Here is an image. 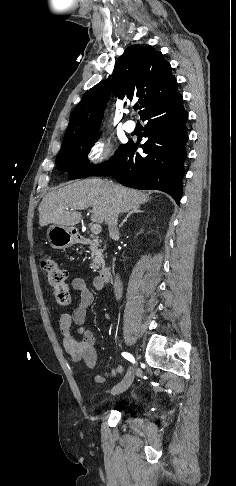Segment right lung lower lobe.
Wrapping results in <instances>:
<instances>
[{
  "mask_svg": "<svg viewBox=\"0 0 236 486\" xmlns=\"http://www.w3.org/2000/svg\"><path fill=\"white\" fill-rule=\"evenodd\" d=\"M140 116L147 121L143 136L148 140L141 145L144 154L136 152L138 143L129 141L92 175H110L132 188L161 190L179 204L188 140V114L183 107V97L177 93L154 103Z\"/></svg>",
  "mask_w": 236,
  "mask_h": 486,
  "instance_id": "1",
  "label": "right lung lower lobe"
}]
</instances>
